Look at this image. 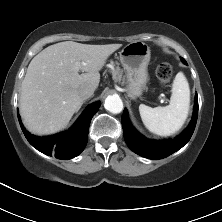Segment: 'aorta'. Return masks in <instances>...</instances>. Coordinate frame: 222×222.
Returning a JSON list of instances; mask_svg holds the SVG:
<instances>
[{
    "instance_id": "762f6f07",
    "label": "aorta",
    "mask_w": 222,
    "mask_h": 222,
    "mask_svg": "<svg viewBox=\"0 0 222 222\" xmlns=\"http://www.w3.org/2000/svg\"><path fill=\"white\" fill-rule=\"evenodd\" d=\"M104 107L109 112L117 114L123 110V102L118 95H109L105 99Z\"/></svg>"
}]
</instances>
